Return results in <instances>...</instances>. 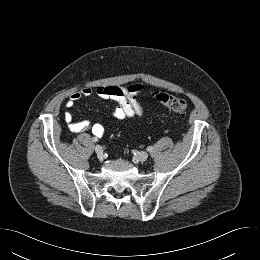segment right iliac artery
Instances as JSON below:
<instances>
[{"mask_svg":"<svg viewBox=\"0 0 260 260\" xmlns=\"http://www.w3.org/2000/svg\"><path fill=\"white\" fill-rule=\"evenodd\" d=\"M97 141V138H93V142H96Z\"/></svg>","mask_w":260,"mask_h":260,"instance_id":"1","label":"right iliac artery"}]
</instances>
